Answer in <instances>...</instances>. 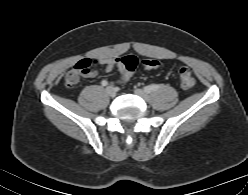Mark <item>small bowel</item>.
Masks as SVG:
<instances>
[{
	"label": "small bowel",
	"mask_w": 248,
	"mask_h": 195,
	"mask_svg": "<svg viewBox=\"0 0 248 195\" xmlns=\"http://www.w3.org/2000/svg\"><path fill=\"white\" fill-rule=\"evenodd\" d=\"M98 67L109 71L113 68H117L120 74V79L124 82L125 72L121 63V58H99L90 64V70L85 74L86 77H94L98 74Z\"/></svg>",
	"instance_id": "obj_1"
}]
</instances>
